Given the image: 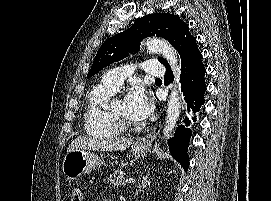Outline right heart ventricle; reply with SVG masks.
<instances>
[{"mask_svg":"<svg viewBox=\"0 0 271 201\" xmlns=\"http://www.w3.org/2000/svg\"><path fill=\"white\" fill-rule=\"evenodd\" d=\"M113 93V89L99 85L88 94L84 113V129L88 135L109 138L122 133L107 108V102Z\"/></svg>","mask_w":271,"mask_h":201,"instance_id":"e07e8e85","label":"right heart ventricle"}]
</instances>
